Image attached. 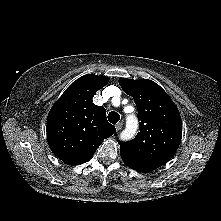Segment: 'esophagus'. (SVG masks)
<instances>
[{"instance_id":"esophagus-1","label":"esophagus","mask_w":221,"mask_h":221,"mask_svg":"<svg viewBox=\"0 0 221 221\" xmlns=\"http://www.w3.org/2000/svg\"><path fill=\"white\" fill-rule=\"evenodd\" d=\"M115 127H116V130L119 131V130L122 129L123 123H122V122H118V123L115 125Z\"/></svg>"}]
</instances>
